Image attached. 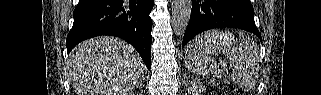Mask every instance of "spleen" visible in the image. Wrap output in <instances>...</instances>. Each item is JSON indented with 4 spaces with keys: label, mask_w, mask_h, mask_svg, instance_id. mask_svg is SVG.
Here are the masks:
<instances>
[{
    "label": "spleen",
    "mask_w": 321,
    "mask_h": 95,
    "mask_svg": "<svg viewBox=\"0 0 321 95\" xmlns=\"http://www.w3.org/2000/svg\"><path fill=\"white\" fill-rule=\"evenodd\" d=\"M231 36L226 32L212 31L198 36L193 42V49L185 56V66L193 73L206 75L211 72L221 77L220 70L209 54L217 51L216 44H221ZM240 43L228 47L226 56L233 65L231 80L243 90L255 87L259 77V55L257 45L248 35L239 33Z\"/></svg>",
    "instance_id": "1"
}]
</instances>
